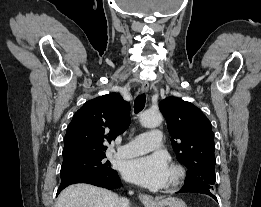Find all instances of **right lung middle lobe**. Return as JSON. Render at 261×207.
<instances>
[{
	"label": "right lung middle lobe",
	"instance_id": "obj_1",
	"mask_svg": "<svg viewBox=\"0 0 261 207\" xmlns=\"http://www.w3.org/2000/svg\"><path fill=\"white\" fill-rule=\"evenodd\" d=\"M105 154L88 155L64 160L61 167V178L82 173H110L114 172L109 161H105Z\"/></svg>",
	"mask_w": 261,
	"mask_h": 207
}]
</instances>
